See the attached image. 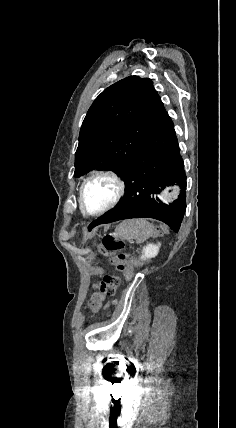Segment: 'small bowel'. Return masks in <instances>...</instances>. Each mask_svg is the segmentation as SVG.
Returning <instances> with one entry per match:
<instances>
[{
    "mask_svg": "<svg viewBox=\"0 0 236 428\" xmlns=\"http://www.w3.org/2000/svg\"><path fill=\"white\" fill-rule=\"evenodd\" d=\"M101 299H102V298H101V297H99L98 302H100V301H101Z\"/></svg>",
    "mask_w": 236,
    "mask_h": 428,
    "instance_id": "obj_1",
    "label": "small bowel"
}]
</instances>
